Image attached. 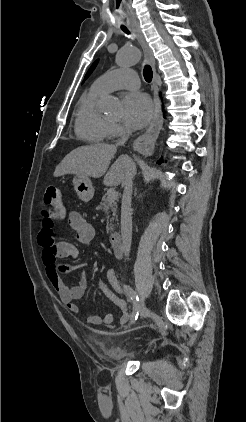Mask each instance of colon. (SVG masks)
Wrapping results in <instances>:
<instances>
[{
	"label": "colon",
	"mask_w": 246,
	"mask_h": 422,
	"mask_svg": "<svg viewBox=\"0 0 246 422\" xmlns=\"http://www.w3.org/2000/svg\"><path fill=\"white\" fill-rule=\"evenodd\" d=\"M44 201L49 206L51 216L55 219L64 217L63 193L55 185L47 187L44 194Z\"/></svg>",
	"instance_id": "colon-1"
}]
</instances>
